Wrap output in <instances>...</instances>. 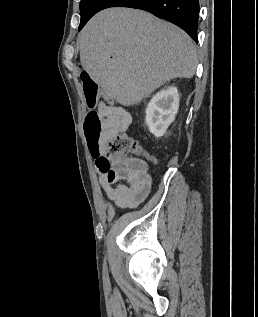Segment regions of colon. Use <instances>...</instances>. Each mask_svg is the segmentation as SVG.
Segmentation results:
<instances>
[{"label":"colon","instance_id":"obj_1","mask_svg":"<svg viewBox=\"0 0 258 317\" xmlns=\"http://www.w3.org/2000/svg\"><path fill=\"white\" fill-rule=\"evenodd\" d=\"M81 80L86 104L90 108L85 116L83 125L89 149L92 152H98L105 148L108 156L119 160L128 158L130 155H145L140 144L127 134L118 133L108 136L106 115L97 107L100 97L99 86L86 73L81 74ZM146 157L151 161L156 160L155 157L150 155H146Z\"/></svg>","mask_w":258,"mask_h":317}]
</instances>
